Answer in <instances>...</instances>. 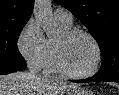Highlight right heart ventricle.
<instances>
[{"label": "right heart ventricle", "instance_id": "right-heart-ventricle-1", "mask_svg": "<svg viewBox=\"0 0 119 95\" xmlns=\"http://www.w3.org/2000/svg\"><path fill=\"white\" fill-rule=\"evenodd\" d=\"M60 25L63 27L64 30L70 29L72 26V24L67 25L63 23H60ZM44 67L46 72L48 73L58 72V69L55 65V41L49 40V55Z\"/></svg>", "mask_w": 119, "mask_h": 95}]
</instances>
